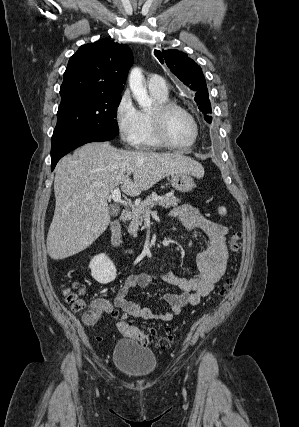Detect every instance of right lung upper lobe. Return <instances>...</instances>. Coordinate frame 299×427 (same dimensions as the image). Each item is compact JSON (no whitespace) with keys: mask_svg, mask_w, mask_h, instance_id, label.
Returning a JSON list of instances; mask_svg holds the SVG:
<instances>
[{"mask_svg":"<svg viewBox=\"0 0 299 427\" xmlns=\"http://www.w3.org/2000/svg\"><path fill=\"white\" fill-rule=\"evenodd\" d=\"M132 63L125 44L100 40L81 46L64 72L61 100L81 93L121 94Z\"/></svg>","mask_w":299,"mask_h":427,"instance_id":"cb5924a9","label":"right lung upper lobe"}]
</instances>
